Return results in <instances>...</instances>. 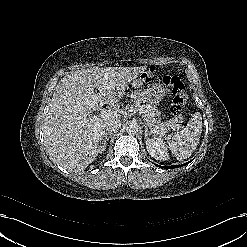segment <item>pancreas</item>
<instances>
[{"mask_svg": "<svg viewBox=\"0 0 247 247\" xmlns=\"http://www.w3.org/2000/svg\"><path fill=\"white\" fill-rule=\"evenodd\" d=\"M133 99L134 104L132 105V108L144 114L146 122L150 127L155 129H168L179 122L178 118H172L166 122H161V113L155 105L150 104L137 96H134Z\"/></svg>", "mask_w": 247, "mask_h": 247, "instance_id": "obj_1", "label": "pancreas"}]
</instances>
